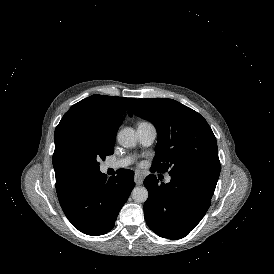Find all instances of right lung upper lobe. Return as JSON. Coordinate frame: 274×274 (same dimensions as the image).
I'll return each instance as SVG.
<instances>
[{
    "label": "right lung upper lobe",
    "mask_w": 274,
    "mask_h": 274,
    "mask_svg": "<svg viewBox=\"0 0 274 274\" xmlns=\"http://www.w3.org/2000/svg\"><path fill=\"white\" fill-rule=\"evenodd\" d=\"M134 100L135 98L95 94L74 104L64 114L54 133L53 166L57 192L79 177L61 159L66 143L95 129L118 131L124 114Z\"/></svg>",
    "instance_id": "obj_1"
}]
</instances>
